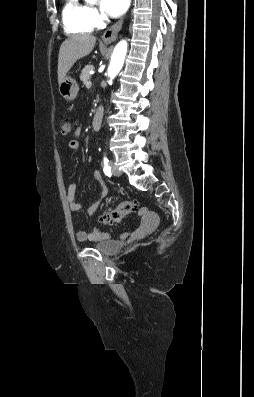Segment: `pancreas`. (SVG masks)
<instances>
[{
  "label": "pancreas",
  "instance_id": "obj_1",
  "mask_svg": "<svg viewBox=\"0 0 254 397\" xmlns=\"http://www.w3.org/2000/svg\"><path fill=\"white\" fill-rule=\"evenodd\" d=\"M94 68L93 65H86L80 75V80L83 82L84 85L89 81L91 75H90V70Z\"/></svg>",
  "mask_w": 254,
  "mask_h": 397
}]
</instances>
